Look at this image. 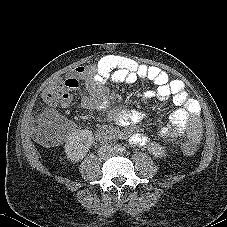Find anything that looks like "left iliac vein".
<instances>
[{
  "label": "left iliac vein",
  "instance_id": "4c4485c4",
  "mask_svg": "<svg viewBox=\"0 0 227 227\" xmlns=\"http://www.w3.org/2000/svg\"><path fill=\"white\" fill-rule=\"evenodd\" d=\"M116 153H117V151H113V153H112V154L114 155V154H116Z\"/></svg>",
  "mask_w": 227,
  "mask_h": 227
}]
</instances>
